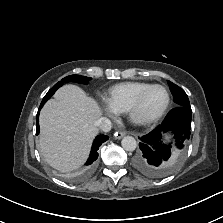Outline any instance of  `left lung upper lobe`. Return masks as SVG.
Segmentation results:
<instances>
[{"instance_id": "5c2ea615", "label": "left lung upper lobe", "mask_w": 223, "mask_h": 223, "mask_svg": "<svg viewBox=\"0 0 223 223\" xmlns=\"http://www.w3.org/2000/svg\"><path fill=\"white\" fill-rule=\"evenodd\" d=\"M169 88L171 90V93L174 97V102L176 103V106H183L186 108H191L190 107V102L188 99L187 94L184 92L182 88L177 86L176 84L172 83L171 81H167Z\"/></svg>"}]
</instances>
